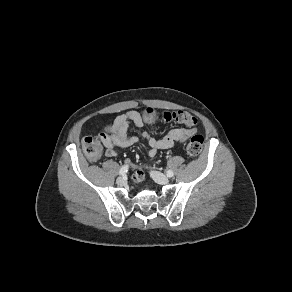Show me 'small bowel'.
I'll return each mask as SVG.
<instances>
[{
    "mask_svg": "<svg viewBox=\"0 0 292 292\" xmlns=\"http://www.w3.org/2000/svg\"><path fill=\"white\" fill-rule=\"evenodd\" d=\"M189 114V113H188ZM146 122L142 114L138 111H129L127 113L117 116L112 123L111 134L101 137V141L106 148V156L116 157L119 150L135 144L138 141V137L128 134V128L130 125L141 129ZM179 123V122H178ZM185 125L181 128H175L170 130L165 136L160 139L150 136L147 132H142V137L149 146V157H155L159 150L169 149L177 144L185 142L196 132L195 124ZM145 178V174L142 170L138 169L133 175L132 179L135 182H142Z\"/></svg>",
    "mask_w": 292,
    "mask_h": 292,
    "instance_id": "small-bowel-1",
    "label": "small bowel"
}]
</instances>
